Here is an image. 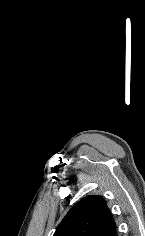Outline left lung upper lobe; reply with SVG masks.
Listing matches in <instances>:
<instances>
[{
  "label": "left lung upper lobe",
  "instance_id": "5c2ea615",
  "mask_svg": "<svg viewBox=\"0 0 145 236\" xmlns=\"http://www.w3.org/2000/svg\"><path fill=\"white\" fill-rule=\"evenodd\" d=\"M53 236H116V224L102 197L87 196L70 209Z\"/></svg>",
  "mask_w": 145,
  "mask_h": 236
}]
</instances>
